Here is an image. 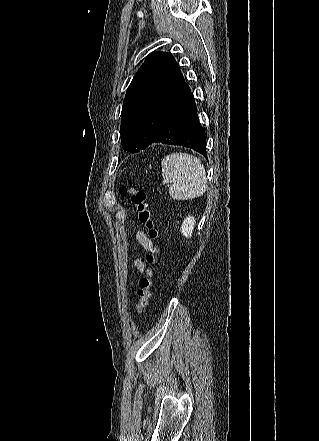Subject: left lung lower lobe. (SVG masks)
I'll return each instance as SVG.
<instances>
[{
  "instance_id": "left-lung-lower-lobe-1",
  "label": "left lung lower lobe",
  "mask_w": 319,
  "mask_h": 441,
  "mask_svg": "<svg viewBox=\"0 0 319 441\" xmlns=\"http://www.w3.org/2000/svg\"><path fill=\"white\" fill-rule=\"evenodd\" d=\"M205 136L197 115L194 96L189 90L180 105L157 129L151 143L188 147L207 158Z\"/></svg>"
}]
</instances>
